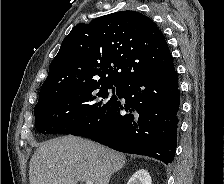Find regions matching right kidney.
Listing matches in <instances>:
<instances>
[{
	"label": "right kidney",
	"mask_w": 224,
	"mask_h": 184,
	"mask_svg": "<svg viewBox=\"0 0 224 184\" xmlns=\"http://www.w3.org/2000/svg\"><path fill=\"white\" fill-rule=\"evenodd\" d=\"M127 184H152L151 176L145 169L135 172Z\"/></svg>",
	"instance_id": "1"
}]
</instances>
